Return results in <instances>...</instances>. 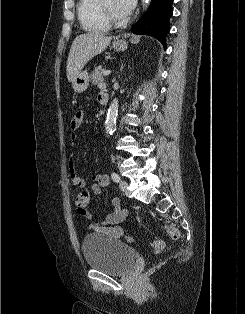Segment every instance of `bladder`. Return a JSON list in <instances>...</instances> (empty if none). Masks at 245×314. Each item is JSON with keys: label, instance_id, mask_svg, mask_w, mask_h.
<instances>
[{"label": "bladder", "instance_id": "obj_1", "mask_svg": "<svg viewBox=\"0 0 245 314\" xmlns=\"http://www.w3.org/2000/svg\"><path fill=\"white\" fill-rule=\"evenodd\" d=\"M86 264L108 274H123L137 260L138 253L118 239L87 234L82 242Z\"/></svg>", "mask_w": 245, "mask_h": 314}]
</instances>
